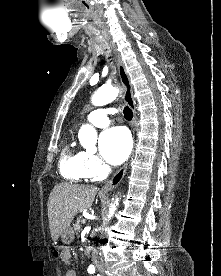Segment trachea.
I'll use <instances>...</instances> for the list:
<instances>
[{
    "label": "trachea",
    "instance_id": "1",
    "mask_svg": "<svg viewBox=\"0 0 221 276\" xmlns=\"http://www.w3.org/2000/svg\"><path fill=\"white\" fill-rule=\"evenodd\" d=\"M123 114H124L125 119L128 121H130L133 117V112L128 106L124 107Z\"/></svg>",
    "mask_w": 221,
    "mask_h": 276
}]
</instances>
